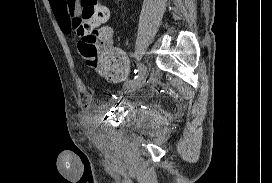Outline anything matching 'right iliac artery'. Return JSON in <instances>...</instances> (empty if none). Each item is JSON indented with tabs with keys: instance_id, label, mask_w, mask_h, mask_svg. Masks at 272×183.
I'll return each instance as SVG.
<instances>
[{
	"instance_id": "right-iliac-artery-1",
	"label": "right iliac artery",
	"mask_w": 272,
	"mask_h": 183,
	"mask_svg": "<svg viewBox=\"0 0 272 183\" xmlns=\"http://www.w3.org/2000/svg\"><path fill=\"white\" fill-rule=\"evenodd\" d=\"M141 69L145 70V66L143 64H139L138 68L134 69V72H133L132 76L129 77V80L130 81H137L138 78H140L143 73Z\"/></svg>"
}]
</instances>
